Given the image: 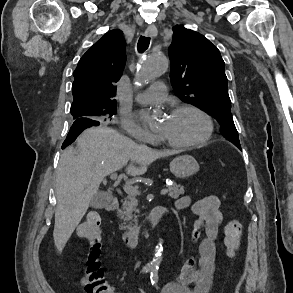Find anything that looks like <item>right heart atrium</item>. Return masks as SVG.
<instances>
[{"mask_svg":"<svg viewBox=\"0 0 293 293\" xmlns=\"http://www.w3.org/2000/svg\"><path fill=\"white\" fill-rule=\"evenodd\" d=\"M120 125L127 134L135 139H139L148 143L154 142L156 140V138L150 132L138 125L126 112L121 113Z\"/></svg>","mask_w":293,"mask_h":293,"instance_id":"right-heart-atrium-1","label":"right heart atrium"}]
</instances>
